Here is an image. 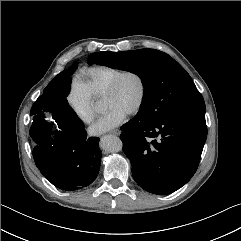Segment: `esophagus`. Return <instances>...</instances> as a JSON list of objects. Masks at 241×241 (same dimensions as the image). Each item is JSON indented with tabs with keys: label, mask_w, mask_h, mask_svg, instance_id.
Returning a JSON list of instances; mask_svg holds the SVG:
<instances>
[{
	"label": "esophagus",
	"mask_w": 241,
	"mask_h": 241,
	"mask_svg": "<svg viewBox=\"0 0 241 241\" xmlns=\"http://www.w3.org/2000/svg\"><path fill=\"white\" fill-rule=\"evenodd\" d=\"M110 134L119 135L120 134V130H118V129L113 130V131L110 132Z\"/></svg>",
	"instance_id": "1"
}]
</instances>
